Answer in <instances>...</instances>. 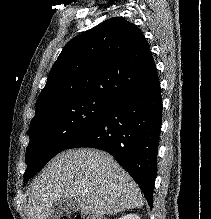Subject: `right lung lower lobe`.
I'll use <instances>...</instances> for the list:
<instances>
[{
  "label": "right lung lower lobe",
  "mask_w": 211,
  "mask_h": 219,
  "mask_svg": "<svg viewBox=\"0 0 211 219\" xmlns=\"http://www.w3.org/2000/svg\"><path fill=\"white\" fill-rule=\"evenodd\" d=\"M162 108L156 72L147 83L115 100L66 149L91 147L110 153L137 182L152 209Z\"/></svg>",
  "instance_id": "obj_1"
}]
</instances>
